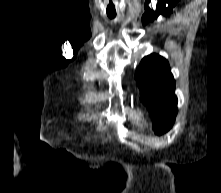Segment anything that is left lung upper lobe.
<instances>
[{
    "mask_svg": "<svg viewBox=\"0 0 221 193\" xmlns=\"http://www.w3.org/2000/svg\"><path fill=\"white\" fill-rule=\"evenodd\" d=\"M135 78L141 90V101L152 117L155 133L167 132L177 114L175 81L167 60L157 54L143 58Z\"/></svg>",
    "mask_w": 221,
    "mask_h": 193,
    "instance_id": "left-lung-upper-lobe-1",
    "label": "left lung upper lobe"
}]
</instances>
